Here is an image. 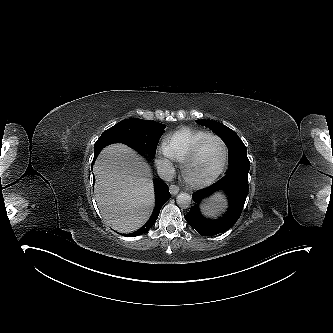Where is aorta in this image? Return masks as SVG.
I'll use <instances>...</instances> for the list:
<instances>
[{
	"label": "aorta",
	"instance_id": "1",
	"mask_svg": "<svg viewBox=\"0 0 333 333\" xmlns=\"http://www.w3.org/2000/svg\"><path fill=\"white\" fill-rule=\"evenodd\" d=\"M191 200H192L191 196L187 193H180L176 198L177 204L184 209L190 206Z\"/></svg>",
	"mask_w": 333,
	"mask_h": 333
}]
</instances>
